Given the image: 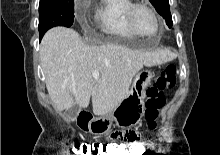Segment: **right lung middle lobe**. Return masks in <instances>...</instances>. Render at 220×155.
I'll return each instance as SVG.
<instances>
[{"instance_id": "obj_1", "label": "right lung middle lobe", "mask_w": 220, "mask_h": 155, "mask_svg": "<svg viewBox=\"0 0 220 155\" xmlns=\"http://www.w3.org/2000/svg\"><path fill=\"white\" fill-rule=\"evenodd\" d=\"M74 21V0H40L39 34L54 26L70 27Z\"/></svg>"}]
</instances>
